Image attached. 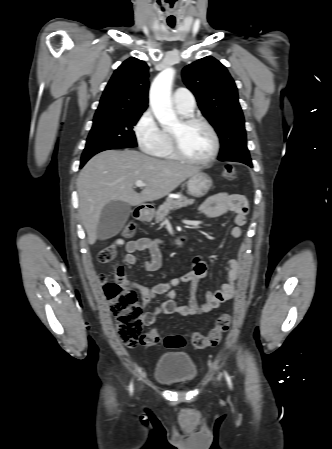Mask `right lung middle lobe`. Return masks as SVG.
<instances>
[{"mask_svg":"<svg viewBox=\"0 0 332 449\" xmlns=\"http://www.w3.org/2000/svg\"><path fill=\"white\" fill-rule=\"evenodd\" d=\"M142 112H117L95 115L82 158L101 151L136 147L133 126Z\"/></svg>","mask_w":332,"mask_h":449,"instance_id":"right-lung-middle-lobe-1","label":"right lung middle lobe"}]
</instances>
